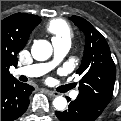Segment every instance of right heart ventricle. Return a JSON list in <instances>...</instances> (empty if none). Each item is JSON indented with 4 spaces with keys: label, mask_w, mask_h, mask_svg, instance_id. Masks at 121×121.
Listing matches in <instances>:
<instances>
[{
    "label": "right heart ventricle",
    "mask_w": 121,
    "mask_h": 121,
    "mask_svg": "<svg viewBox=\"0 0 121 121\" xmlns=\"http://www.w3.org/2000/svg\"><path fill=\"white\" fill-rule=\"evenodd\" d=\"M46 30L53 35V42L70 40L72 37L69 25L63 20H53L48 25Z\"/></svg>",
    "instance_id": "obj_1"
}]
</instances>
